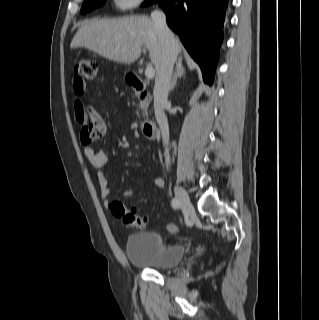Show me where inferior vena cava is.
<instances>
[{"label":"inferior vena cava","instance_id":"obj_1","mask_svg":"<svg viewBox=\"0 0 319 320\" xmlns=\"http://www.w3.org/2000/svg\"><path fill=\"white\" fill-rule=\"evenodd\" d=\"M151 19L155 24L159 38L163 45V56L160 67L155 79L154 86V111L157 123L159 125L163 145L165 146V163L168 167L170 164L169 155V126L164 112V107L168 103V94L170 90V81L172 77L174 63L176 61L175 39L171 30L166 23V16L162 11H153Z\"/></svg>","mask_w":319,"mask_h":320}]
</instances>
